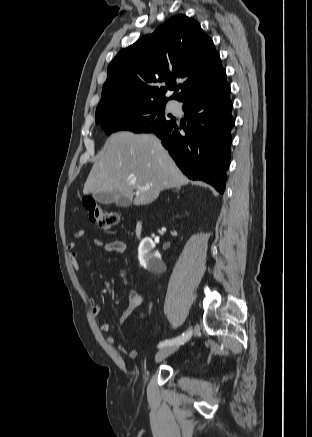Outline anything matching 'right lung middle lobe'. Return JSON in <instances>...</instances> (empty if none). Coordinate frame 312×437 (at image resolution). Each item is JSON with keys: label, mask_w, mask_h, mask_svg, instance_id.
Listing matches in <instances>:
<instances>
[{"label": "right lung middle lobe", "mask_w": 312, "mask_h": 437, "mask_svg": "<svg viewBox=\"0 0 312 437\" xmlns=\"http://www.w3.org/2000/svg\"><path fill=\"white\" fill-rule=\"evenodd\" d=\"M164 101L135 104L122 107L98 120L107 135L116 131L134 133L156 132L175 122L171 115L164 113Z\"/></svg>", "instance_id": "dd1d6c3e"}]
</instances>
